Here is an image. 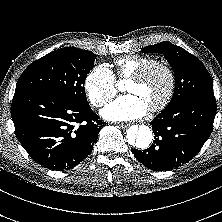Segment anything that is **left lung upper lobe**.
Returning a JSON list of instances; mask_svg holds the SVG:
<instances>
[{"label": "left lung upper lobe", "mask_w": 222, "mask_h": 222, "mask_svg": "<svg viewBox=\"0 0 222 222\" xmlns=\"http://www.w3.org/2000/svg\"><path fill=\"white\" fill-rule=\"evenodd\" d=\"M142 52L163 54L174 71L175 90L165 109L191 98L215 100L213 83L207 69L185 49L165 41L147 46Z\"/></svg>", "instance_id": "obj_1"}]
</instances>
